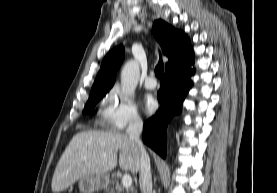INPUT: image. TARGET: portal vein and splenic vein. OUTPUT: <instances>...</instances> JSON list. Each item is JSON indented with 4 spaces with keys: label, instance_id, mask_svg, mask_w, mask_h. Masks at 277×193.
<instances>
[{
    "label": "portal vein and splenic vein",
    "instance_id": "18ae733b",
    "mask_svg": "<svg viewBox=\"0 0 277 193\" xmlns=\"http://www.w3.org/2000/svg\"><path fill=\"white\" fill-rule=\"evenodd\" d=\"M106 154H103V157H105ZM122 186L124 188H130L132 186V177L129 174H124L122 177Z\"/></svg>",
    "mask_w": 277,
    "mask_h": 193
}]
</instances>
